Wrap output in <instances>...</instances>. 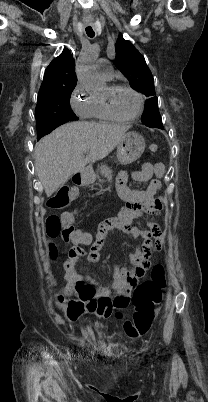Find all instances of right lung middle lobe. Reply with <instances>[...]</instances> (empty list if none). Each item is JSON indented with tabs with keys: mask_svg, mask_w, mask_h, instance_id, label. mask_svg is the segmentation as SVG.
<instances>
[{
	"mask_svg": "<svg viewBox=\"0 0 208 402\" xmlns=\"http://www.w3.org/2000/svg\"><path fill=\"white\" fill-rule=\"evenodd\" d=\"M74 86L62 87L50 90L41 96H38L36 106V122L47 119H56L68 122L70 120H78L70 107V97ZM37 139L39 140L44 134L37 130Z\"/></svg>",
	"mask_w": 208,
	"mask_h": 402,
	"instance_id": "obj_1",
	"label": "right lung middle lobe"
}]
</instances>
